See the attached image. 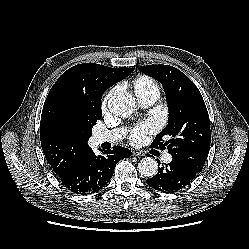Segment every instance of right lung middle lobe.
<instances>
[{
    "label": "right lung middle lobe",
    "instance_id": "1",
    "mask_svg": "<svg viewBox=\"0 0 249 249\" xmlns=\"http://www.w3.org/2000/svg\"><path fill=\"white\" fill-rule=\"evenodd\" d=\"M49 114L58 122L59 129L75 137L81 149L86 148L93 126L102 117L101 96L85 99L69 89L60 88L53 94Z\"/></svg>",
    "mask_w": 249,
    "mask_h": 249
}]
</instances>
